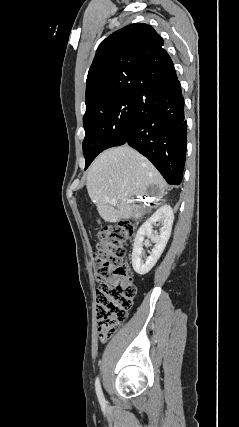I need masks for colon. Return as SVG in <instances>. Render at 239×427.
<instances>
[{
	"mask_svg": "<svg viewBox=\"0 0 239 427\" xmlns=\"http://www.w3.org/2000/svg\"><path fill=\"white\" fill-rule=\"evenodd\" d=\"M131 222L102 228L94 258L97 330L102 341L110 338L126 319L137 289L128 266L126 244L134 233Z\"/></svg>",
	"mask_w": 239,
	"mask_h": 427,
	"instance_id": "5ec220e1",
	"label": "colon"
}]
</instances>
